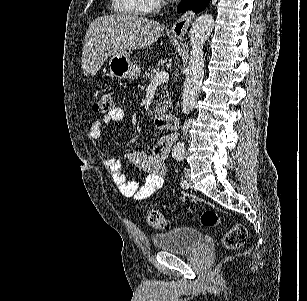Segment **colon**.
Masks as SVG:
<instances>
[{
    "instance_id": "colon-1",
    "label": "colon",
    "mask_w": 307,
    "mask_h": 301,
    "mask_svg": "<svg viewBox=\"0 0 307 301\" xmlns=\"http://www.w3.org/2000/svg\"><path fill=\"white\" fill-rule=\"evenodd\" d=\"M111 108V98L106 93L96 97L92 103V109L96 113H106L109 112ZM145 218L147 223L155 229H164L167 227V220L157 209H147ZM200 222L204 227L214 228L222 224V219L215 211L206 210L201 214ZM246 237V228L241 224H234L224 233L222 243L227 249H237L244 244Z\"/></svg>"
}]
</instances>
